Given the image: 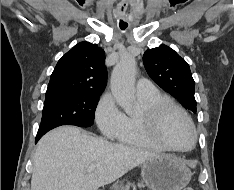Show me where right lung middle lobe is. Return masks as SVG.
Returning <instances> with one entry per match:
<instances>
[{"label":"right lung middle lobe","instance_id":"obj_1","mask_svg":"<svg viewBox=\"0 0 234 190\" xmlns=\"http://www.w3.org/2000/svg\"><path fill=\"white\" fill-rule=\"evenodd\" d=\"M98 93L47 89L38 133L44 135L61 125L90 127L93 125Z\"/></svg>","mask_w":234,"mask_h":190}]
</instances>
